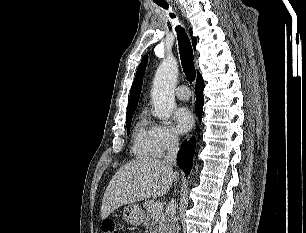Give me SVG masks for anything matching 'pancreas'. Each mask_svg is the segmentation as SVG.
<instances>
[{
    "mask_svg": "<svg viewBox=\"0 0 306 233\" xmlns=\"http://www.w3.org/2000/svg\"><path fill=\"white\" fill-rule=\"evenodd\" d=\"M152 205V201H146L143 205L145 209L143 225L150 233H165L163 209L154 213L152 212Z\"/></svg>",
    "mask_w": 306,
    "mask_h": 233,
    "instance_id": "1",
    "label": "pancreas"
}]
</instances>
